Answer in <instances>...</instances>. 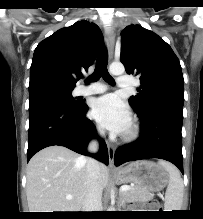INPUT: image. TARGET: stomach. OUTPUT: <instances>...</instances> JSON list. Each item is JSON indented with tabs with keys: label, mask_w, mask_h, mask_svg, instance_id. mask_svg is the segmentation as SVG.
Masks as SVG:
<instances>
[{
	"label": "stomach",
	"mask_w": 203,
	"mask_h": 219,
	"mask_svg": "<svg viewBox=\"0 0 203 219\" xmlns=\"http://www.w3.org/2000/svg\"><path fill=\"white\" fill-rule=\"evenodd\" d=\"M120 183L133 182L146 192H158L169 182L168 172L152 161L141 160L128 164L116 172Z\"/></svg>",
	"instance_id": "0dacf381"
}]
</instances>
